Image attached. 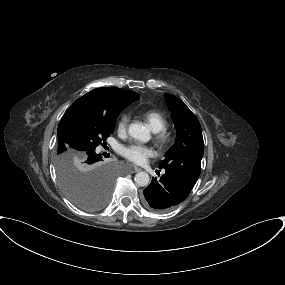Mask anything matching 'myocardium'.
Instances as JSON below:
<instances>
[{"label": "myocardium", "mask_w": 285, "mask_h": 285, "mask_svg": "<svg viewBox=\"0 0 285 285\" xmlns=\"http://www.w3.org/2000/svg\"><path fill=\"white\" fill-rule=\"evenodd\" d=\"M157 141L163 147L168 146L169 143L171 142L170 133L167 132L166 130L159 131L157 134Z\"/></svg>", "instance_id": "1"}]
</instances>
